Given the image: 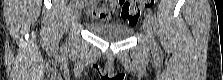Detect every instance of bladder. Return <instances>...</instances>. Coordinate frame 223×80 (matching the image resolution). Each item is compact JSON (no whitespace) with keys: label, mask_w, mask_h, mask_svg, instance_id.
Masks as SVG:
<instances>
[{"label":"bladder","mask_w":223,"mask_h":80,"mask_svg":"<svg viewBox=\"0 0 223 80\" xmlns=\"http://www.w3.org/2000/svg\"><path fill=\"white\" fill-rule=\"evenodd\" d=\"M86 27L93 35L109 41L125 40L133 34L131 27L121 24L87 22Z\"/></svg>","instance_id":"bladder-1"}]
</instances>
